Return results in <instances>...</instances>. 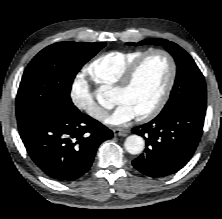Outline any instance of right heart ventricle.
I'll use <instances>...</instances> for the list:
<instances>
[{
	"mask_svg": "<svg viewBox=\"0 0 222 219\" xmlns=\"http://www.w3.org/2000/svg\"><path fill=\"white\" fill-rule=\"evenodd\" d=\"M147 50L109 51L95 58L85 69L102 87H115L129 65Z\"/></svg>",
	"mask_w": 222,
	"mask_h": 219,
	"instance_id": "1",
	"label": "right heart ventricle"
}]
</instances>
